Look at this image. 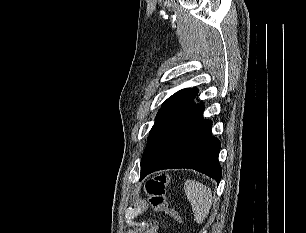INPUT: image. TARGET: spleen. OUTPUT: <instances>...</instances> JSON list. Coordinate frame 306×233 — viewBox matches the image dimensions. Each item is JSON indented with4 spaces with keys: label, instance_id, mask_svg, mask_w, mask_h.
<instances>
[{
    "label": "spleen",
    "instance_id": "1",
    "mask_svg": "<svg viewBox=\"0 0 306 233\" xmlns=\"http://www.w3.org/2000/svg\"><path fill=\"white\" fill-rule=\"evenodd\" d=\"M184 189L187 199L192 205L195 221L198 224H202L208 216L212 205L211 189L195 180H187Z\"/></svg>",
    "mask_w": 306,
    "mask_h": 233
}]
</instances>
